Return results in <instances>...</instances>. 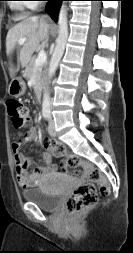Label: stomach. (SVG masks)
<instances>
[{"label":"stomach","mask_w":133,"mask_h":253,"mask_svg":"<svg viewBox=\"0 0 133 253\" xmlns=\"http://www.w3.org/2000/svg\"><path fill=\"white\" fill-rule=\"evenodd\" d=\"M25 90H26L25 82L21 77H18L14 78L11 81L8 92L10 95L14 97H20L25 93Z\"/></svg>","instance_id":"0dacf381"}]
</instances>
